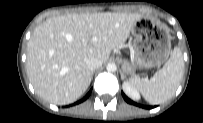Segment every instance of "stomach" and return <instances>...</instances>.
<instances>
[{"mask_svg": "<svg viewBox=\"0 0 203 123\" xmlns=\"http://www.w3.org/2000/svg\"><path fill=\"white\" fill-rule=\"evenodd\" d=\"M135 50V64L140 68H153L165 63L172 53L169 32L153 21L137 22L131 30ZM123 69L131 74L134 66L123 61Z\"/></svg>", "mask_w": 203, "mask_h": 123, "instance_id": "obj_1", "label": "stomach"}]
</instances>
